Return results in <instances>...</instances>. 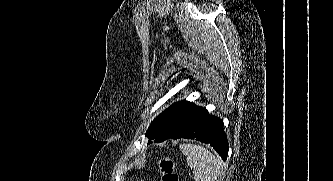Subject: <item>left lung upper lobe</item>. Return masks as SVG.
Instances as JSON below:
<instances>
[{
  "label": "left lung upper lobe",
  "mask_w": 333,
  "mask_h": 181,
  "mask_svg": "<svg viewBox=\"0 0 333 181\" xmlns=\"http://www.w3.org/2000/svg\"><path fill=\"white\" fill-rule=\"evenodd\" d=\"M203 108L186 100L172 104L150 124L145 136L151 142L160 137L163 140L172 138L181 132Z\"/></svg>",
  "instance_id": "left-lung-upper-lobe-1"
}]
</instances>
